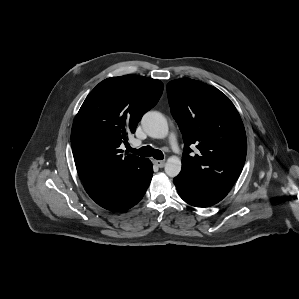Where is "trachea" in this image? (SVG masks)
I'll return each instance as SVG.
<instances>
[{"instance_id": "trachea-1", "label": "trachea", "mask_w": 299, "mask_h": 299, "mask_svg": "<svg viewBox=\"0 0 299 299\" xmlns=\"http://www.w3.org/2000/svg\"><path fill=\"white\" fill-rule=\"evenodd\" d=\"M128 152H131L133 154L139 155V156H144V157H153L157 160H162L164 159V155L162 151L158 149H153L151 146H144L141 147L140 149H135L130 146L127 147Z\"/></svg>"}]
</instances>
